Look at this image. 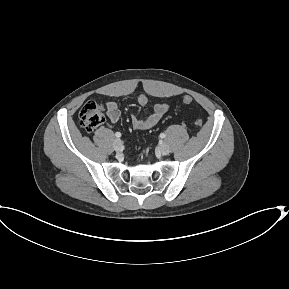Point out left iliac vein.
<instances>
[{
  "instance_id": "4c4485c4",
  "label": "left iliac vein",
  "mask_w": 289,
  "mask_h": 289,
  "mask_svg": "<svg viewBox=\"0 0 289 289\" xmlns=\"http://www.w3.org/2000/svg\"><path fill=\"white\" fill-rule=\"evenodd\" d=\"M159 151L163 154V155H168L170 152V148L166 143H163L159 146Z\"/></svg>"
}]
</instances>
